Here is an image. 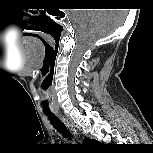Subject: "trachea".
I'll return each instance as SVG.
<instances>
[{
    "label": "trachea",
    "instance_id": "3493384b",
    "mask_svg": "<svg viewBox=\"0 0 153 153\" xmlns=\"http://www.w3.org/2000/svg\"><path fill=\"white\" fill-rule=\"evenodd\" d=\"M46 115L49 117V119L51 120V123L53 124V126L63 135L67 136V131L66 128L64 126V124L57 118L55 117V115L51 114V113H46Z\"/></svg>",
    "mask_w": 153,
    "mask_h": 153
}]
</instances>
